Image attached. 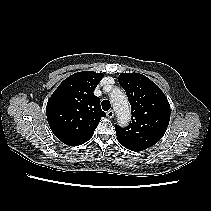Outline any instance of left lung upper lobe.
<instances>
[{"instance_id": "5c2ea615", "label": "left lung upper lobe", "mask_w": 211, "mask_h": 211, "mask_svg": "<svg viewBox=\"0 0 211 211\" xmlns=\"http://www.w3.org/2000/svg\"><path fill=\"white\" fill-rule=\"evenodd\" d=\"M119 84L131 104L132 122L115 125L117 139L131 151H143L155 145L165 134L170 121V105L162 90L139 73H121Z\"/></svg>"}]
</instances>
